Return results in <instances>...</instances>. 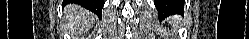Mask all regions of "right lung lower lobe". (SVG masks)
Segmentation results:
<instances>
[{
	"mask_svg": "<svg viewBox=\"0 0 249 39\" xmlns=\"http://www.w3.org/2000/svg\"><path fill=\"white\" fill-rule=\"evenodd\" d=\"M83 7L101 16V11L104 5V0H79L78 1Z\"/></svg>",
	"mask_w": 249,
	"mask_h": 39,
	"instance_id": "98d812e1",
	"label": "right lung lower lobe"
}]
</instances>
